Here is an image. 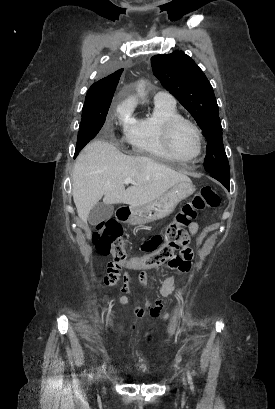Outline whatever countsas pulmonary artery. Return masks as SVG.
I'll return each instance as SVG.
<instances>
[{
	"label": "pulmonary artery",
	"mask_w": 275,
	"mask_h": 409,
	"mask_svg": "<svg viewBox=\"0 0 275 409\" xmlns=\"http://www.w3.org/2000/svg\"><path fill=\"white\" fill-rule=\"evenodd\" d=\"M154 102L155 104L167 105L171 107H174L176 105L174 97L169 93H157L154 96Z\"/></svg>",
	"instance_id": "pulmonary-artery-1"
}]
</instances>
